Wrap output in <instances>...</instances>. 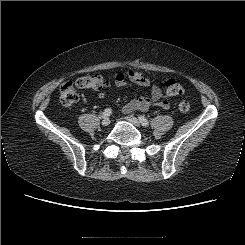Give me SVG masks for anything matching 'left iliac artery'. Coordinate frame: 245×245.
<instances>
[{
	"label": "left iliac artery",
	"instance_id": "obj_1",
	"mask_svg": "<svg viewBox=\"0 0 245 245\" xmlns=\"http://www.w3.org/2000/svg\"><path fill=\"white\" fill-rule=\"evenodd\" d=\"M138 118H139L140 123L142 124V126H145V127L149 126V121L144 116H139Z\"/></svg>",
	"mask_w": 245,
	"mask_h": 245
}]
</instances>
